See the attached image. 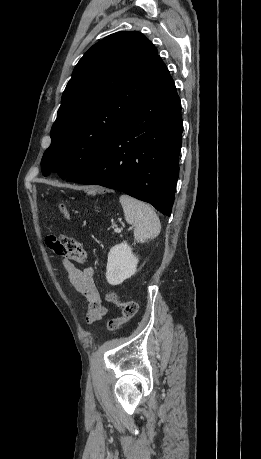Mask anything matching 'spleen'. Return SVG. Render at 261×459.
Wrapping results in <instances>:
<instances>
[{
  "label": "spleen",
  "mask_w": 261,
  "mask_h": 459,
  "mask_svg": "<svg viewBox=\"0 0 261 459\" xmlns=\"http://www.w3.org/2000/svg\"><path fill=\"white\" fill-rule=\"evenodd\" d=\"M125 220L134 227L137 242L155 239L161 230L160 220L151 206L128 195H121Z\"/></svg>",
  "instance_id": "obj_1"
}]
</instances>
